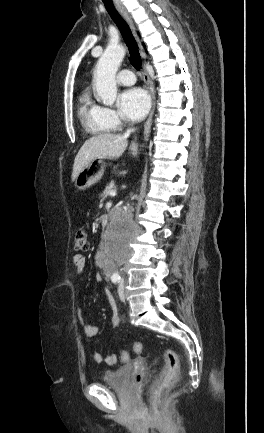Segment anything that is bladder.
Returning a JSON list of instances; mask_svg holds the SVG:
<instances>
[{
  "label": "bladder",
  "instance_id": "bladder-1",
  "mask_svg": "<svg viewBox=\"0 0 264 433\" xmlns=\"http://www.w3.org/2000/svg\"><path fill=\"white\" fill-rule=\"evenodd\" d=\"M130 368H119L116 370H106L101 378V384L118 393H128Z\"/></svg>",
  "mask_w": 264,
  "mask_h": 433
}]
</instances>
